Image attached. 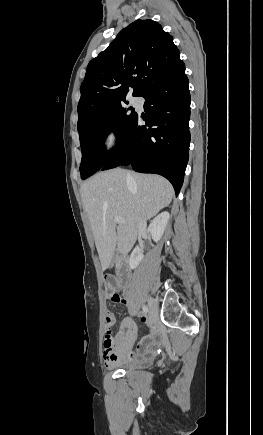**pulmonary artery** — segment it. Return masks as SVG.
Returning <instances> with one entry per match:
<instances>
[{"label": "pulmonary artery", "mask_w": 263, "mask_h": 435, "mask_svg": "<svg viewBox=\"0 0 263 435\" xmlns=\"http://www.w3.org/2000/svg\"><path fill=\"white\" fill-rule=\"evenodd\" d=\"M132 102H133V103H136V102H137V99H135V98L132 99Z\"/></svg>", "instance_id": "e3ab8cb5"}]
</instances>
